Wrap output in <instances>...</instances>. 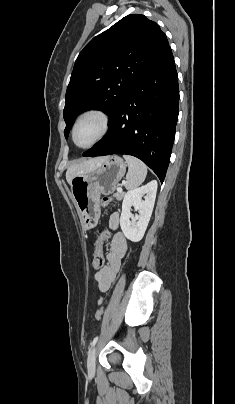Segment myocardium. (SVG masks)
<instances>
[{
    "instance_id": "f54148a6",
    "label": "myocardium",
    "mask_w": 235,
    "mask_h": 404,
    "mask_svg": "<svg viewBox=\"0 0 235 404\" xmlns=\"http://www.w3.org/2000/svg\"><path fill=\"white\" fill-rule=\"evenodd\" d=\"M88 117H96L97 119H99L100 131H99L98 135L91 142H89L88 144H85V145H79V144H77L76 138H75L76 130H77V127L79 126V124ZM109 127H110V117L106 111H104L102 109H97V108L86 110L78 116V118L76 119V121L73 124L72 130H71L72 142L76 147H78L80 149H88V148L94 146L99 141H101L106 136V134L109 131Z\"/></svg>"
}]
</instances>
